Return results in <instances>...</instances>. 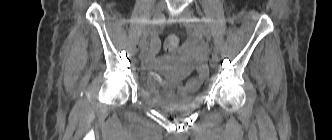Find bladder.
I'll list each match as a JSON object with an SVG mask.
<instances>
[{"mask_svg": "<svg viewBox=\"0 0 332 140\" xmlns=\"http://www.w3.org/2000/svg\"><path fill=\"white\" fill-rule=\"evenodd\" d=\"M203 85V80L189 79L176 92L151 90L153 101L161 108L169 111L185 109Z\"/></svg>", "mask_w": 332, "mask_h": 140, "instance_id": "bladder-1", "label": "bladder"}]
</instances>
